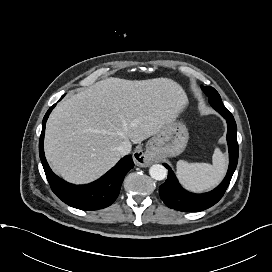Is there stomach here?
<instances>
[{
  "instance_id": "stomach-1",
  "label": "stomach",
  "mask_w": 272,
  "mask_h": 272,
  "mask_svg": "<svg viewBox=\"0 0 272 272\" xmlns=\"http://www.w3.org/2000/svg\"><path fill=\"white\" fill-rule=\"evenodd\" d=\"M188 139L186 125L174 119L148 141L146 153L151 157H175L185 150Z\"/></svg>"
}]
</instances>
